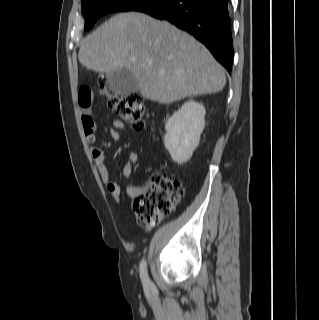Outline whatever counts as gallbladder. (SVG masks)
I'll return each mask as SVG.
<instances>
[{
	"instance_id": "gallbladder-1",
	"label": "gallbladder",
	"mask_w": 319,
	"mask_h": 320,
	"mask_svg": "<svg viewBox=\"0 0 319 320\" xmlns=\"http://www.w3.org/2000/svg\"><path fill=\"white\" fill-rule=\"evenodd\" d=\"M106 84L110 91L123 96L130 95L139 90L137 80L125 68L109 73Z\"/></svg>"
}]
</instances>
